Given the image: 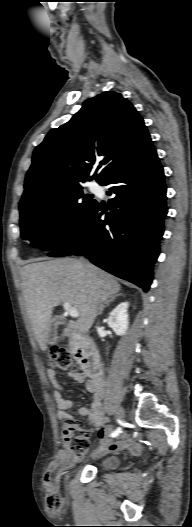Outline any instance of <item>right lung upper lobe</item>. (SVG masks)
I'll return each mask as SVG.
<instances>
[{
	"label": "right lung upper lobe",
	"mask_w": 192,
	"mask_h": 527,
	"mask_svg": "<svg viewBox=\"0 0 192 527\" xmlns=\"http://www.w3.org/2000/svg\"><path fill=\"white\" fill-rule=\"evenodd\" d=\"M150 140L143 118L120 93L86 100L34 150L19 206L47 201L92 178L102 184ZM94 165L102 170L89 177Z\"/></svg>",
	"instance_id": "right-lung-upper-lobe-1"
}]
</instances>
